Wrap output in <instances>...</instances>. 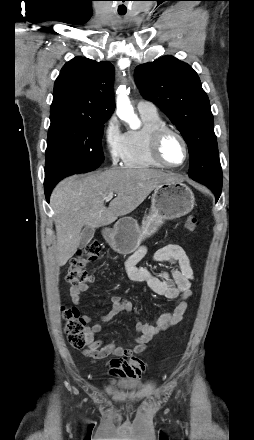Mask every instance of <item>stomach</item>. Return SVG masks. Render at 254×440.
I'll return each mask as SVG.
<instances>
[{"label":"stomach","instance_id":"stomach-1","mask_svg":"<svg viewBox=\"0 0 254 440\" xmlns=\"http://www.w3.org/2000/svg\"><path fill=\"white\" fill-rule=\"evenodd\" d=\"M195 198L192 190L179 180L159 184L152 195L151 209L142 225L131 217L119 219L113 228L103 232L110 247L120 254H131L141 242L153 235L165 220L182 217L192 211Z\"/></svg>","mask_w":254,"mask_h":440}]
</instances>
